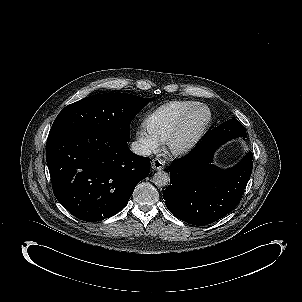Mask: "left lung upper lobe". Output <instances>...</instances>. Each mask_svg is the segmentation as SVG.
<instances>
[{
    "label": "left lung upper lobe",
    "mask_w": 302,
    "mask_h": 302,
    "mask_svg": "<svg viewBox=\"0 0 302 302\" xmlns=\"http://www.w3.org/2000/svg\"><path fill=\"white\" fill-rule=\"evenodd\" d=\"M210 137L223 144L235 137L246 138L247 135L244 126L238 120L230 119L214 128L210 132Z\"/></svg>",
    "instance_id": "5c2ea615"
}]
</instances>
